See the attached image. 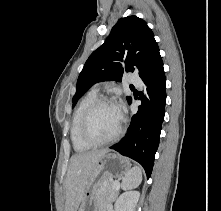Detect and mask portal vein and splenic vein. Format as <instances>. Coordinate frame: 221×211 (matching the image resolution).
<instances>
[{
    "label": "portal vein and splenic vein",
    "instance_id": "1",
    "mask_svg": "<svg viewBox=\"0 0 221 211\" xmlns=\"http://www.w3.org/2000/svg\"><path fill=\"white\" fill-rule=\"evenodd\" d=\"M120 187V183L118 180L114 181V188L118 189Z\"/></svg>",
    "mask_w": 221,
    "mask_h": 211
}]
</instances>
